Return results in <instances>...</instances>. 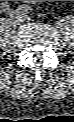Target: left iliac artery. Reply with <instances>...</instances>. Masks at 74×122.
I'll list each match as a JSON object with an SVG mask.
<instances>
[{
    "instance_id": "44dca946",
    "label": "left iliac artery",
    "mask_w": 74,
    "mask_h": 122,
    "mask_svg": "<svg viewBox=\"0 0 74 122\" xmlns=\"http://www.w3.org/2000/svg\"><path fill=\"white\" fill-rule=\"evenodd\" d=\"M19 10H22L25 13H31L33 11L32 7L28 5H21V7H19Z\"/></svg>"
}]
</instances>
